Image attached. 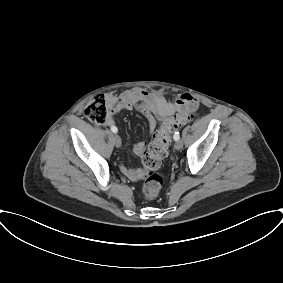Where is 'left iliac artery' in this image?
<instances>
[{
  "mask_svg": "<svg viewBox=\"0 0 283 283\" xmlns=\"http://www.w3.org/2000/svg\"><path fill=\"white\" fill-rule=\"evenodd\" d=\"M173 138H174L175 141L179 140V139H180V134H179V132H175Z\"/></svg>",
  "mask_w": 283,
  "mask_h": 283,
  "instance_id": "1",
  "label": "left iliac artery"
}]
</instances>
